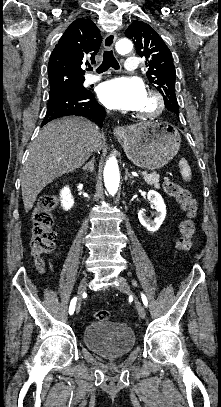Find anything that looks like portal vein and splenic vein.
<instances>
[{
  "mask_svg": "<svg viewBox=\"0 0 221 407\" xmlns=\"http://www.w3.org/2000/svg\"><path fill=\"white\" fill-rule=\"evenodd\" d=\"M140 174L144 176L147 174V172H140Z\"/></svg>",
  "mask_w": 221,
  "mask_h": 407,
  "instance_id": "obj_1",
  "label": "portal vein and splenic vein"
}]
</instances>
